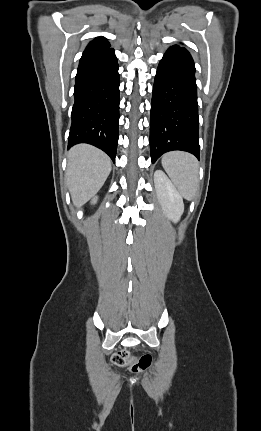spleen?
<instances>
[{
  "label": "spleen",
  "instance_id": "3e777b00",
  "mask_svg": "<svg viewBox=\"0 0 261 431\" xmlns=\"http://www.w3.org/2000/svg\"><path fill=\"white\" fill-rule=\"evenodd\" d=\"M162 166L182 197L191 200L198 188V161L185 152L173 151L162 157Z\"/></svg>",
  "mask_w": 261,
  "mask_h": 431
}]
</instances>
